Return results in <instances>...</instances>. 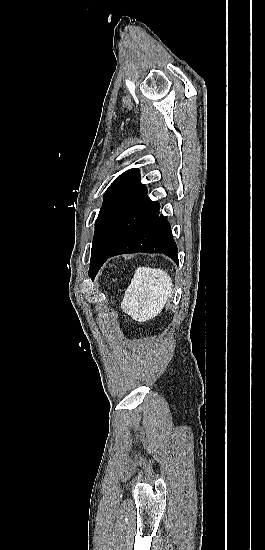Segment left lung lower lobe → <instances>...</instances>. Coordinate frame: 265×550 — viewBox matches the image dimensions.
<instances>
[{
    "instance_id": "obj_1",
    "label": "left lung lower lobe",
    "mask_w": 265,
    "mask_h": 550,
    "mask_svg": "<svg viewBox=\"0 0 265 550\" xmlns=\"http://www.w3.org/2000/svg\"><path fill=\"white\" fill-rule=\"evenodd\" d=\"M159 204L139 221L117 244L105 254L91 252L89 276L93 280L112 256L136 252L163 253L178 264L177 246L173 240L170 224L159 212Z\"/></svg>"
}]
</instances>
